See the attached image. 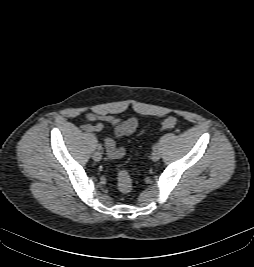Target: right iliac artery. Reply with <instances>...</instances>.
Listing matches in <instances>:
<instances>
[{"label":"right iliac artery","instance_id":"1","mask_svg":"<svg viewBox=\"0 0 254 267\" xmlns=\"http://www.w3.org/2000/svg\"><path fill=\"white\" fill-rule=\"evenodd\" d=\"M97 149L101 150L102 149V145L101 144H97Z\"/></svg>","mask_w":254,"mask_h":267}]
</instances>
